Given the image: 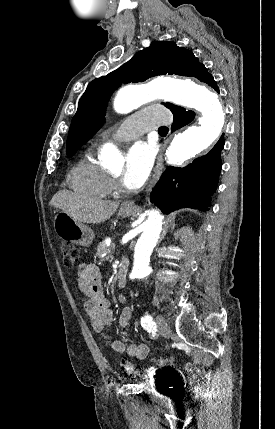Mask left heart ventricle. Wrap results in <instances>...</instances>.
<instances>
[{
  "instance_id": "left-heart-ventricle-1",
  "label": "left heart ventricle",
  "mask_w": 275,
  "mask_h": 429,
  "mask_svg": "<svg viewBox=\"0 0 275 429\" xmlns=\"http://www.w3.org/2000/svg\"><path fill=\"white\" fill-rule=\"evenodd\" d=\"M122 172H123V168H122V167H120V168H118V169L114 172V174H115L116 176H120V175L122 174Z\"/></svg>"
}]
</instances>
